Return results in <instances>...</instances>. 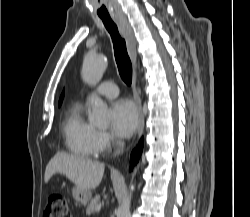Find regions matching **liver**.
Instances as JSON below:
<instances>
[{"label": "liver", "instance_id": "6515ba94", "mask_svg": "<svg viewBox=\"0 0 250 217\" xmlns=\"http://www.w3.org/2000/svg\"><path fill=\"white\" fill-rule=\"evenodd\" d=\"M104 169L105 165L98 161L58 152L46 166L44 180L47 183L54 174L60 173L78 189L91 190L99 186Z\"/></svg>", "mask_w": 250, "mask_h": 217}]
</instances>
